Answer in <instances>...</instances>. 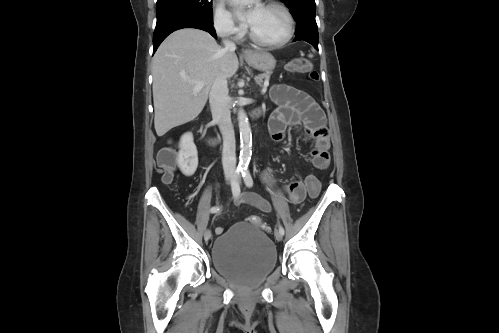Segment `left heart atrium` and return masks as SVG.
Listing matches in <instances>:
<instances>
[{"instance_id":"39dd6f15","label":"left heart atrium","mask_w":499,"mask_h":333,"mask_svg":"<svg viewBox=\"0 0 499 333\" xmlns=\"http://www.w3.org/2000/svg\"><path fill=\"white\" fill-rule=\"evenodd\" d=\"M230 4L233 6L237 16L248 23H252L257 11L262 7L261 3L258 1H253L252 6L245 10L244 5L247 3L246 0H229Z\"/></svg>"}]
</instances>
